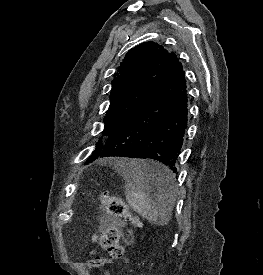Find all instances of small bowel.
I'll use <instances>...</instances> for the list:
<instances>
[{
    "mask_svg": "<svg viewBox=\"0 0 263 275\" xmlns=\"http://www.w3.org/2000/svg\"><path fill=\"white\" fill-rule=\"evenodd\" d=\"M126 241L129 242V235H126Z\"/></svg>",
    "mask_w": 263,
    "mask_h": 275,
    "instance_id": "c3829d8e",
    "label": "small bowel"
}]
</instances>
